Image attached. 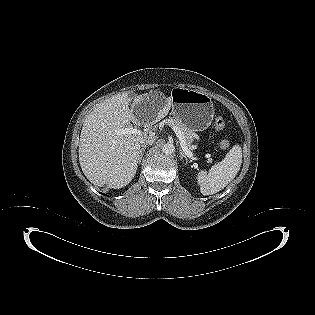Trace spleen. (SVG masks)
Listing matches in <instances>:
<instances>
[{"label":"spleen","mask_w":315,"mask_h":315,"mask_svg":"<svg viewBox=\"0 0 315 315\" xmlns=\"http://www.w3.org/2000/svg\"><path fill=\"white\" fill-rule=\"evenodd\" d=\"M242 163V148L234 145L225 158L213 165L209 172L202 170L197 182L203 195H213L224 189L237 175Z\"/></svg>","instance_id":"3e777b00"}]
</instances>
